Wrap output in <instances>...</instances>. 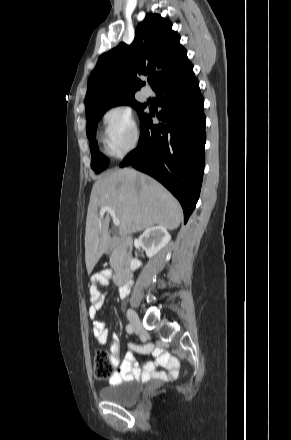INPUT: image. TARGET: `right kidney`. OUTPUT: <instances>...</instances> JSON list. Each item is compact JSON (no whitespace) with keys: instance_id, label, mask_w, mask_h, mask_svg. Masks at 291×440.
<instances>
[{"instance_id":"obj_1","label":"right kidney","mask_w":291,"mask_h":440,"mask_svg":"<svg viewBox=\"0 0 291 440\" xmlns=\"http://www.w3.org/2000/svg\"><path fill=\"white\" fill-rule=\"evenodd\" d=\"M171 236L167 229L163 226H154L146 229L144 233L139 237L140 245L145 248L146 255L152 258L156 255L163 247H165ZM142 263L138 259H132L130 263V268L132 271L138 269Z\"/></svg>"}]
</instances>
